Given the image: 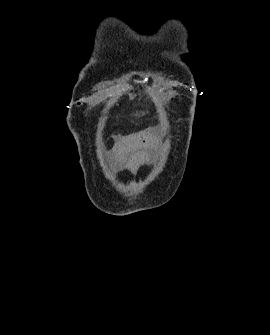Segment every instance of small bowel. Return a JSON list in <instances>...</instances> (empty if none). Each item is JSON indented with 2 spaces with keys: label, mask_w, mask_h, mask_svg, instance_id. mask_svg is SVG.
<instances>
[{
  "label": "small bowel",
  "mask_w": 270,
  "mask_h": 335,
  "mask_svg": "<svg viewBox=\"0 0 270 335\" xmlns=\"http://www.w3.org/2000/svg\"><path fill=\"white\" fill-rule=\"evenodd\" d=\"M157 151V136L152 130H142L127 138L120 151V171L136 173L153 161Z\"/></svg>",
  "instance_id": "1"
}]
</instances>
